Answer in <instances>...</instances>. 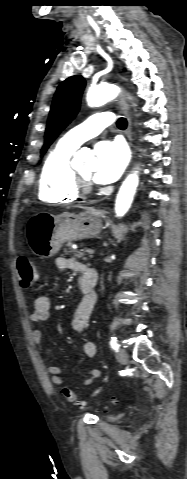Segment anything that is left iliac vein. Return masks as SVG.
<instances>
[{
  "label": "left iliac vein",
  "mask_w": 187,
  "mask_h": 479,
  "mask_svg": "<svg viewBox=\"0 0 187 479\" xmlns=\"http://www.w3.org/2000/svg\"><path fill=\"white\" fill-rule=\"evenodd\" d=\"M117 358L123 365L127 364L128 362V353L125 349H119L117 353Z\"/></svg>",
  "instance_id": "obj_1"
}]
</instances>
